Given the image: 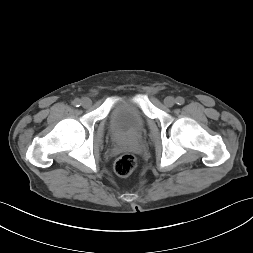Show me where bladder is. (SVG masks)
I'll return each mask as SVG.
<instances>
[{
  "label": "bladder",
  "mask_w": 253,
  "mask_h": 253,
  "mask_svg": "<svg viewBox=\"0 0 253 253\" xmlns=\"http://www.w3.org/2000/svg\"><path fill=\"white\" fill-rule=\"evenodd\" d=\"M145 124L142 112L131 98H122L113 105L109 115V129L113 137H135L142 133Z\"/></svg>",
  "instance_id": "1"
}]
</instances>
